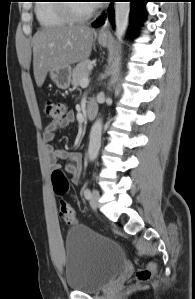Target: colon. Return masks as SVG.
<instances>
[{
    "label": "colon",
    "mask_w": 195,
    "mask_h": 299,
    "mask_svg": "<svg viewBox=\"0 0 195 299\" xmlns=\"http://www.w3.org/2000/svg\"><path fill=\"white\" fill-rule=\"evenodd\" d=\"M67 110L68 106L64 101H48L45 104V113L54 123L60 122L65 117ZM51 178L55 193L59 196L64 195L69 187L66 174L57 168L52 171ZM60 215L70 226L77 223L75 211L65 200L60 201ZM153 272V264L139 268L135 279L137 282H147L152 278Z\"/></svg>",
    "instance_id": "5ec220e1"
}]
</instances>
